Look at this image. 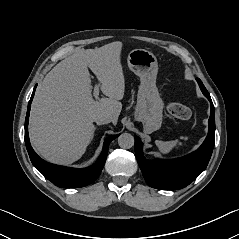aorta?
I'll use <instances>...</instances> for the list:
<instances>
[{
    "instance_id": "762f6f07",
    "label": "aorta",
    "mask_w": 239,
    "mask_h": 239,
    "mask_svg": "<svg viewBox=\"0 0 239 239\" xmlns=\"http://www.w3.org/2000/svg\"><path fill=\"white\" fill-rule=\"evenodd\" d=\"M118 145L123 149H130L134 145V137L130 133H123L118 137Z\"/></svg>"
}]
</instances>
